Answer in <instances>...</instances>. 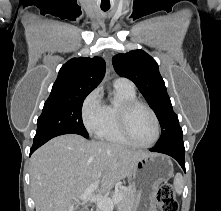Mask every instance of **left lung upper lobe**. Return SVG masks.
I'll return each instance as SVG.
<instances>
[{
    "label": "left lung upper lobe",
    "mask_w": 221,
    "mask_h": 211,
    "mask_svg": "<svg viewBox=\"0 0 221 211\" xmlns=\"http://www.w3.org/2000/svg\"><path fill=\"white\" fill-rule=\"evenodd\" d=\"M112 63L122 77L132 80L154 110L161 125V137L155 146L183 141L178 116L174 113L157 62L143 50L117 54Z\"/></svg>",
    "instance_id": "5c2ea615"
}]
</instances>
